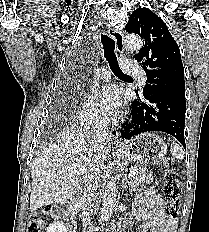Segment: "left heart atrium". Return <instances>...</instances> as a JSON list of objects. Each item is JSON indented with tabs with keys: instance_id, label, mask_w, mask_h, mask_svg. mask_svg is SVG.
<instances>
[{
	"instance_id": "39dd6f15",
	"label": "left heart atrium",
	"mask_w": 209,
	"mask_h": 232,
	"mask_svg": "<svg viewBox=\"0 0 209 232\" xmlns=\"http://www.w3.org/2000/svg\"><path fill=\"white\" fill-rule=\"evenodd\" d=\"M97 102L106 116H116L120 112L121 101L115 87L108 86L101 89L97 94Z\"/></svg>"
}]
</instances>
